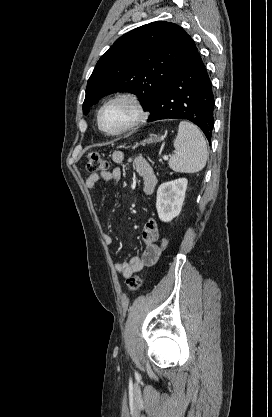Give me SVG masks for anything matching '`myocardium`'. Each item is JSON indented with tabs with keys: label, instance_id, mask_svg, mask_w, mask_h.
<instances>
[{
	"label": "myocardium",
	"instance_id": "obj_1",
	"mask_svg": "<svg viewBox=\"0 0 272 417\" xmlns=\"http://www.w3.org/2000/svg\"><path fill=\"white\" fill-rule=\"evenodd\" d=\"M118 101H126L128 103H130L134 110H135V117L134 119L127 124L126 126H124L123 128L116 130V131H108L103 127L102 124V115L104 110L111 104L118 102ZM148 117V113L146 111V108L144 106V104L142 103L141 99L139 98L138 95H136L135 93L132 92H121L118 93L114 96H112L111 98H109L99 109L98 114H97V124L99 129L106 135L108 136H119L125 133H128L134 129H136L137 127H139L141 124H143L145 122V120Z\"/></svg>",
	"mask_w": 272,
	"mask_h": 417
}]
</instances>
